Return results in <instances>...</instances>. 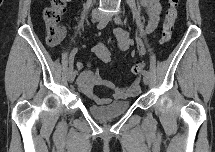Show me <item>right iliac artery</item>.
Instances as JSON below:
<instances>
[{
  "label": "right iliac artery",
  "mask_w": 215,
  "mask_h": 152,
  "mask_svg": "<svg viewBox=\"0 0 215 152\" xmlns=\"http://www.w3.org/2000/svg\"><path fill=\"white\" fill-rule=\"evenodd\" d=\"M109 20L108 19H104L101 22L98 23L97 25V29L101 30L103 28H105L108 24ZM76 54V51H73L71 53V57L69 58V61L67 63H69V71L73 70V56Z\"/></svg>",
  "instance_id": "obj_1"
}]
</instances>
